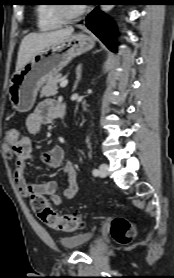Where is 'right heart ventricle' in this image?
<instances>
[{"mask_svg": "<svg viewBox=\"0 0 174 278\" xmlns=\"http://www.w3.org/2000/svg\"><path fill=\"white\" fill-rule=\"evenodd\" d=\"M37 26L41 31H50L62 26L65 21L60 19L55 4H40L36 8Z\"/></svg>", "mask_w": 174, "mask_h": 278, "instance_id": "1", "label": "right heart ventricle"}]
</instances>
